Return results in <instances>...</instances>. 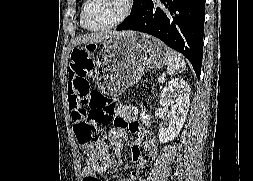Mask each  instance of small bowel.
<instances>
[{
    "instance_id": "obj_1",
    "label": "small bowel",
    "mask_w": 253,
    "mask_h": 181,
    "mask_svg": "<svg viewBox=\"0 0 253 181\" xmlns=\"http://www.w3.org/2000/svg\"><path fill=\"white\" fill-rule=\"evenodd\" d=\"M93 66L92 57L84 54L76 64L75 67L72 66L70 73V79L68 82V92L69 98L76 97L81 94L89 92L88 77ZM137 116V110L121 106L117 109V114L115 118L114 130L109 134V139L116 145H121V138L126 132V128L135 134L136 140L131 150V160L136 166L132 168L129 172V176L118 179L115 181H132L139 171V166L143 161V150L147 151L151 158L156 155V146L151 137H147L139 124L136 122L135 118ZM116 166V161L111 159L105 166V169L113 168ZM82 181H105L104 178H97L93 174V170L88 166H85L82 171Z\"/></svg>"
}]
</instances>
